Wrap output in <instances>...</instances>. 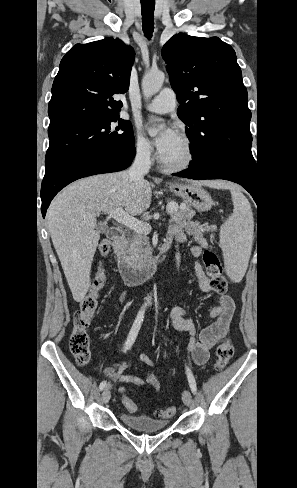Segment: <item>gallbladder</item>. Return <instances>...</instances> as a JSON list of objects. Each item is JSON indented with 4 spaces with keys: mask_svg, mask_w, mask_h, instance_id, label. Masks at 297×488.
Instances as JSON below:
<instances>
[{
    "mask_svg": "<svg viewBox=\"0 0 297 488\" xmlns=\"http://www.w3.org/2000/svg\"><path fill=\"white\" fill-rule=\"evenodd\" d=\"M107 228H108V227H107V225H106V224H103V223L98 224V229H99L100 233H105V232H106V230H107Z\"/></svg>",
    "mask_w": 297,
    "mask_h": 488,
    "instance_id": "1",
    "label": "gallbladder"
}]
</instances>
